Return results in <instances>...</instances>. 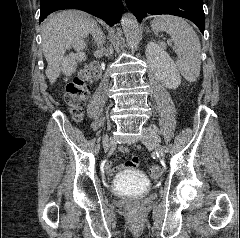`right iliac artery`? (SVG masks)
I'll list each match as a JSON object with an SVG mask.
<instances>
[{
    "mask_svg": "<svg viewBox=\"0 0 240 238\" xmlns=\"http://www.w3.org/2000/svg\"><path fill=\"white\" fill-rule=\"evenodd\" d=\"M97 145L99 146L100 144L98 143ZM98 146L96 147V148H97V149H96L97 151L99 150V149H98V148H99Z\"/></svg>",
    "mask_w": 240,
    "mask_h": 238,
    "instance_id": "1",
    "label": "right iliac artery"
}]
</instances>
